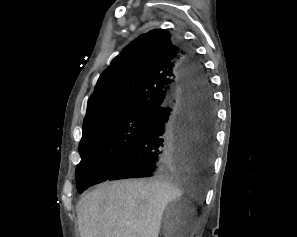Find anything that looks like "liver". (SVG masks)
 I'll return each instance as SVG.
<instances>
[{"label":"liver","mask_w":297,"mask_h":237,"mask_svg":"<svg viewBox=\"0 0 297 237\" xmlns=\"http://www.w3.org/2000/svg\"><path fill=\"white\" fill-rule=\"evenodd\" d=\"M185 191L190 177L174 174L99 185L77 205L81 237H158L163 212Z\"/></svg>","instance_id":"6515ba94"}]
</instances>
